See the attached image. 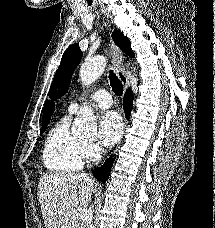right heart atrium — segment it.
Masks as SVG:
<instances>
[{
  "instance_id": "d8ad5b80",
  "label": "right heart atrium",
  "mask_w": 215,
  "mask_h": 228,
  "mask_svg": "<svg viewBox=\"0 0 215 228\" xmlns=\"http://www.w3.org/2000/svg\"><path fill=\"white\" fill-rule=\"evenodd\" d=\"M100 154V148L95 144H85L83 146V158L86 160H93Z\"/></svg>"
}]
</instances>
